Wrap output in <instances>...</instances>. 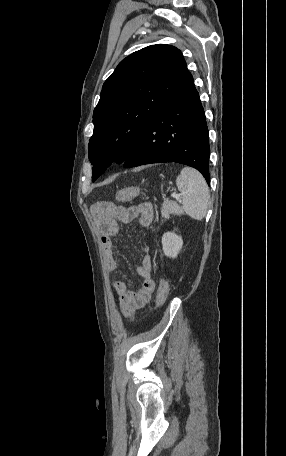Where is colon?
<instances>
[{
  "label": "colon",
  "mask_w": 286,
  "mask_h": 456,
  "mask_svg": "<svg viewBox=\"0 0 286 456\" xmlns=\"http://www.w3.org/2000/svg\"><path fill=\"white\" fill-rule=\"evenodd\" d=\"M140 192L139 187H127L121 189L116 194V199L118 201H127L138 196ZM113 202L101 201L95 204V209L99 211L110 210L112 208ZM169 294V286L166 281H162L159 285V289L156 296V305L161 306L167 299Z\"/></svg>",
  "instance_id": "5ec220e1"
}]
</instances>
